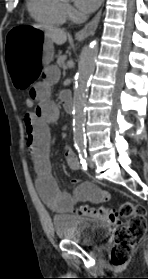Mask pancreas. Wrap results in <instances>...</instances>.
I'll return each instance as SVG.
<instances>
[{"label":"pancreas","mask_w":148,"mask_h":279,"mask_svg":"<svg viewBox=\"0 0 148 279\" xmlns=\"http://www.w3.org/2000/svg\"><path fill=\"white\" fill-rule=\"evenodd\" d=\"M66 59L65 55L59 56L57 59V64L59 67H63L64 66V61Z\"/></svg>","instance_id":"pancreas-1"}]
</instances>
